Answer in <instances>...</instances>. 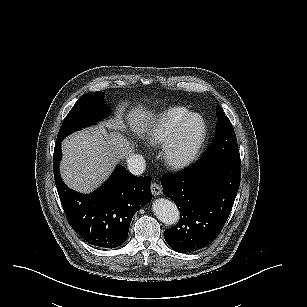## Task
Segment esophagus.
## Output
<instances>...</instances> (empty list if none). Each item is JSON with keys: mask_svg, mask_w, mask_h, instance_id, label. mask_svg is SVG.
Masks as SVG:
<instances>
[{"mask_svg": "<svg viewBox=\"0 0 307 307\" xmlns=\"http://www.w3.org/2000/svg\"><path fill=\"white\" fill-rule=\"evenodd\" d=\"M151 192L154 196H159V195L162 194V188L159 184L152 183L151 184Z\"/></svg>", "mask_w": 307, "mask_h": 307, "instance_id": "34e87169", "label": "esophagus"}]
</instances>
